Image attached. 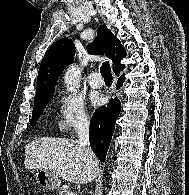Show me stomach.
I'll list each match as a JSON object with an SVG mask.
<instances>
[{
    "label": "stomach",
    "instance_id": "obj_1",
    "mask_svg": "<svg viewBox=\"0 0 189 195\" xmlns=\"http://www.w3.org/2000/svg\"><path fill=\"white\" fill-rule=\"evenodd\" d=\"M35 177L40 186L45 190L53 191L60 186L59 177L50 170H37Z\"/></svg>",
    "mask_w": 189,
    "mask_h": 195
}]
</instances>
